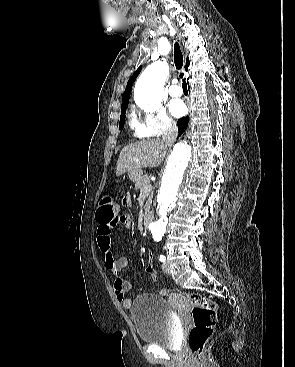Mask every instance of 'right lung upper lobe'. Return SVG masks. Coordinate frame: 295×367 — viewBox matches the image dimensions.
<instances>
[{
	"label": "right lung upper lobe",
	"instance_id": "cb5924a9",
	"mask_svg": "<svg viewBox=\"0 0 295 367\" xmlns=\"http://www.w3.org/2000/svg\"><path fill=\"white\" fill-rule=\"evenodd\" d=\"M189 66V60L187 58V62L185 65V69L187 70ZM142 67L140 66L132 75V77L129 79V81L127 82V86L125 89V92L123 94V98H122V105L129 103V99H130V93L132 90V85L134 83V81L136 80L137 76L139 75L140 71H141Z\"/></svg>",
	"mask_w": 295,
	"mask_h": 367
}]
</instances>
